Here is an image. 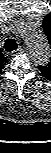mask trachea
Returning a JSON list of instances; mask_svg holds the SVG:
<instances>
[{
  "instance_id": "obj_1",
  "label": "trachea",
  "mask_w": 51,
  "mask_h": 153,
  "mask_svg": "<svg viewBox=\"0 0 51 153\" xmlns=\"http://www.w3.org/2000/svg\"><path fill=\"white\" fill-rule=\"evenodd\" d=\"M17 48L16 40L13 38H8L4 43V49L8 52H12Z\"/></svg>"
}]
</instances>
